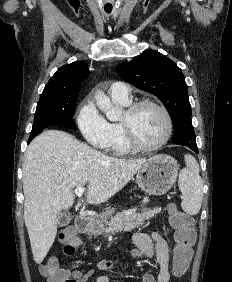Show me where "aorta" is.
<instances>
[{
  "label": "aorta",
  "mask_w": 232,
  "mask_h": 282,
  "mask_svg": "<svg viewBox=\"0 0 232 282\" xmlns=\"http://www.w3.org/2000/svg\"><path fill=\"white\" fill-rule=\"evenodd\" d=\"M96 104L99 109L105 113L106 117L110 121H117L121 117V112L115 108L108 96L101 90H97L95 93Z\"/></svg>",
  "instance_id": "obj_1"
}]
</instances>
